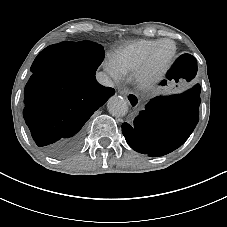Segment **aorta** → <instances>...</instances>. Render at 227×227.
Instances as JSON below:
<instances>
[{"mask_svg":"<svg viewBox=\"0 0 227 227\" xmlns=\"http://www.w3.org/2000/svg\"><path fill=\"white\" fill-rule=\"evenodd\" d=\"M107 109L112 116L123 117L128 112V105L123 97L114 95L107 101Z\"/></svg>","mask_w":227,"mask_h":227,"instance_id":"762f6f07","label":"aorta"}]
</instances>
